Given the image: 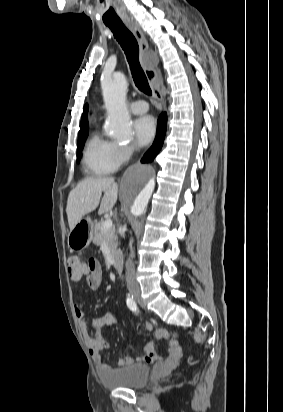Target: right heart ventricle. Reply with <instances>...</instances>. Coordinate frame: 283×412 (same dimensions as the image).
<instances>
[{
	"label": "right heart ventricle",
	"instance_id": "right-heart-ventricle-1",
	"mask_svg": "<svg viewBox=\"0 0 283 412\" xmlns=\"http://www.w3.org/2000/svg\"><path fill=\"white\" fill-rule=\"evenodd\" d=\"M117 145L98 133L93 134L83 154L85 170L97 176L114 173L121 164L117 156Z\"/></svg>",
	"mask_w": 283,
	"mask_h": 412
}]
</instances>
